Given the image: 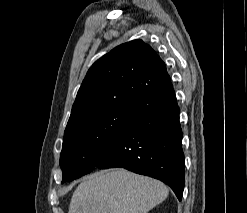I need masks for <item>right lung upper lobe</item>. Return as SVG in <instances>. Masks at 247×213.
<instances>
[{"mask_svg":"<svg viewBox=\"0 0 247 213\" xmlns=\"http://www.w3.org/2000/svg\"><path fill=\"white\" fill-rule=\"evenodd\" d=\"M170 82L165 63L142 40L117 46L88 70L65 132L103 110Z\"/></svg>","mask_w":247,"mask_h":213,"instance_id":"1","label":"right lung upper lobe"}]
</instances>
